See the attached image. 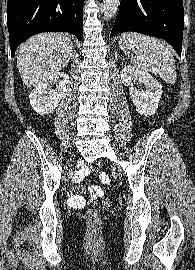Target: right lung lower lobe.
I'll return each mask as SVG.
<instances>
[{"label": "right lung lower lobe", "mask_w": 195, "mask_h": 270, "mask_svg": "<svg viewBox=\"0 0 195 270\" xmlns=\"http://www.w3.org/2000/svg\"><path fill=\"white\" fill-rule=\"evenodd\" d=\"M84 0H8L7 23L12 56L20 43L40 32L83 37Z\"/></svg>", "instance_id": "right-lung-lower-lobe-1"}]
</instances>
